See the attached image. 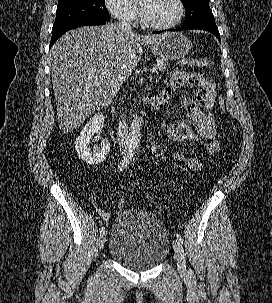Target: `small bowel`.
<instances>
[{"label":"small bowel","instance_id":"obj_1","mask_svg":"<svg viewBox=\"0 0 272 303\" xmlns=\"http://www.w3.org/2000/svg\"><path fill=\"white\" fill-rule=\"evenodd\" d=\"M185 88L193 89L192 94H184L181 97L185 118L169 127L168 136L174 141L200 143L206 150L213 152L219 145L218 126L213 112L217 98L215 83L210 78L194 72L172 71L165 91L171 97ZM173 157L185 162L194 172L203 169L204 162L196 155L175 152Z\"/></svg>","mask_w":272,"mask_h":303}]
</instances>
